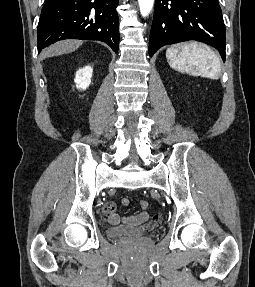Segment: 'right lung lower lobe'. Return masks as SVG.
<instances>
[{
  "mask_svg": "<svg viewBox=\"0 0 255 287\" xmlns=\"http://www.w3.org/2000/svg\"><path fill=\"white\" fill-rule=\"evenodd\" d=\"M118 0H46L37 29L38 53L63 39L99 40L119 48Z\"/></svg>",
  "mask_w": 255,
  "mask_h": 287,
  "instance_id": "right-lung-lower-lobe-1",
  "label": "right lung lower lobe"
}]
</instances>
